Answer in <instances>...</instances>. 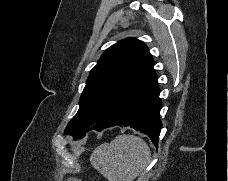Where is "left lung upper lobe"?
Segmentation results:
<instances>
[{"mask_svg": "<svg viewBox=\"0 0 228 181\" xmlns=\"http://www.w3.org/2000/svg\"><path fill=\"white\" fill-rule=\"evenodd\" d=\"M153 66L149 49L136 38L109 47L91 70L80 97V108L65 133L75 136L119 122L132 93Z\"/></svg>", "mask_w": 228, "mask_h": 181, "instance_id": "1", "label": "left lung upper lobe"}]
</instances>
